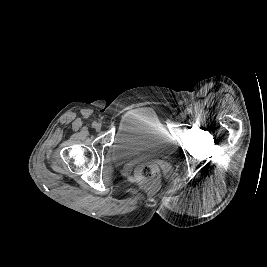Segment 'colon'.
I'll use <instances>...</instances> for the list:
<instances>
[{
  "mask_svg": "<svg viewBox=\"0 0 267 267\" xmlns=\"http://www.w3.org/2000/svg\"><path fill=\"white\" fill-rule=\"evenodd\" d=\"M135 177L148 192L153 193L159 187L160 172L158 166L155 164H140L135 170Z\"/></svg>",
  "mask_w": 267,
  "mask_h": 267,
  "instance_id": "1",
  "label": "colon"
}]
</instances>
